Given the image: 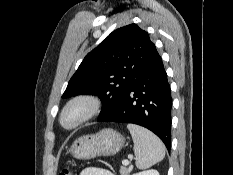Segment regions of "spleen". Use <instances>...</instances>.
Wrapping results in <instances>:
<instances>
[{
  "instance_id": "1",
  "label": "spleen",
  "mask_w": 233,
  "mask_h": 175,
  "mask_svg": "<svg viewBox=\"0 0 233 175\" xmlns=\"http://www.w3.org/2000/svg\"><path fill=\"white\" fill-rule=\"evenodd\" d=\"M127 128L134 142L137 168H149L163 160L165 146L155 134L135 124H128Z\"/></svg>"
}]
</instances>
